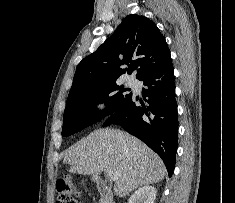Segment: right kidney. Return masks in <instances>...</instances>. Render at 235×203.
<instances>
[{"label": "right kidney", "instance_id": "right-kidney-1", "mask_svg": "<svg viewBox=\"0 0 235 203\" xmlns=\"http://www.w3.org/2000/svg\"><path fill=\"white\" fill-rule=\"evenodd\" d=\"M157 190L153 186L139 188L128 200V203H155Z\"/></svg>", "mask_w": 235, "mask_h": 203}]
</instances>
